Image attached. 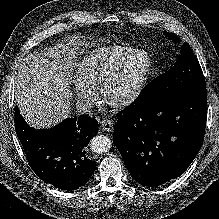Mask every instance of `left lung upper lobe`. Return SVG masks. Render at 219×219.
I'll return each instance as SVG.
<instances>
[{"label":"left lung upper lobe","instance_id":"obj_1","mask_svg":"<svg viewBox=\"0 0 219 219\" xmlns=\"http://www.w3.org/2000/svg\"><path fill=\"white\" fill-rule=\"evenodd\" d=\"M166 35L174 41L178 40L173 34L166 32ZM200 88L206 89L205 78L191 47L185 42L175 65L151 81L134 104L151 106L172 95Z\"/></svg>","mask_w":219,"mask_h":219}]
</instances>
